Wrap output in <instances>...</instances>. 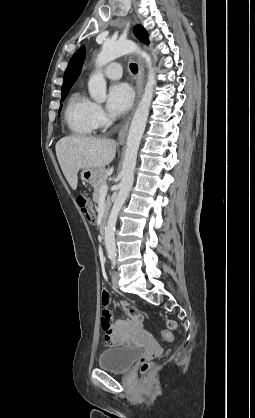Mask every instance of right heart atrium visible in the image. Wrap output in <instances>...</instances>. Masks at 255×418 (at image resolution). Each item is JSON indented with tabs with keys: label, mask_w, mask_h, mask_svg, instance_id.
Here are the masks:
<instances>
[{
	"label": "right heart atrium",
	"mask_w": 255,
	"mask_h": 418,
	"mask_svg": "<svg viewBox=\"0 0 255 418\" xmlns=\"http://www.w3.org/2000/svg\"><path fill=\"white\" fill-rule=\"evenodd\" d=\"M93 117L97 127L104 126L107 123V117L103 108L96 103L93 106Z\"/></svg>",
	"instance_id": "d8ad5b80"
}]
</instances>
